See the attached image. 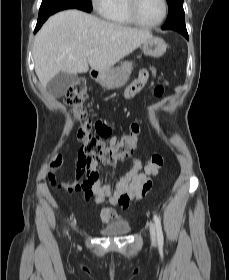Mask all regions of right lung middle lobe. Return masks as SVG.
Masks as SVG:
<instances>
[{"instance_id":"dd1d6c3e","label":"right lung middle lobe","mask_w":229,"mask_h":280,"mask_svg":"<svg viewBox=\"0 0 229 280\" xmlns=\"http://www.w3.org/2000/svg\"><path fill=\"white\" fill-rule=\"evenodd\" d=\"M65 2L78 4V5L86 7L89 10H92L91 0H42L40 9H43L47 6H52V5H56L59 3H65Z\"/></svg>"}]
</instances>
